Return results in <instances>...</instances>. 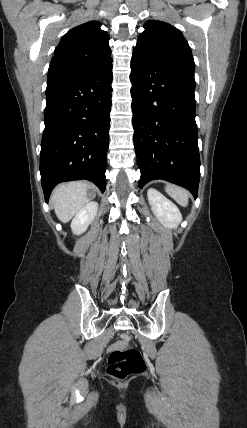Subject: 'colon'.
<instances>
[{
  "label": "colon",
  "instance_id": "obj_1",
  "mask_svg": "<svg viewBox=\"0 0 247 428\" xmlns=\"http://www.w3.org/2000/svg\"><path fill=\"white\" fill-rule=\"evenodd\" d=\"M145 370V363L141 353L130 345L128 335H123L110 352L107 361V372L116 379L141 373Z\"/></svg>",
  "mask_w": 247,
  "mask_h": 428
}]
</instances>
